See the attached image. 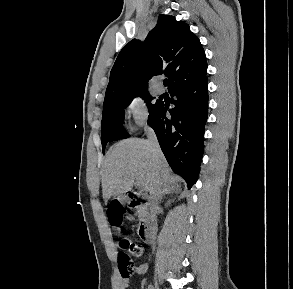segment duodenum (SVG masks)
I'll list each match as a JSON object with an SVG mask.
<instances>
[{
  "label": "duodenum",
  "instance_id": "obj_1",
  "mask_svg": "<svg viewBox=\"0 0 293 289\" xmlns=\"http://www.w3.org/2000/svg\"><path fill=\"white\" fill-rule=\"evenodd\" d=\"M125 201L129 207L142 212L138 232L145 243L152 244L156 239V228L153 217L146 212L149 203L135 192L126 193Z\"/></svg>",
  "mask_w": 293,
  "mask_h": 289
}]
</instances>
